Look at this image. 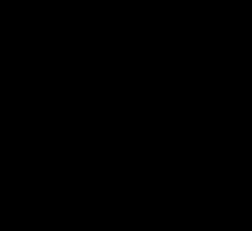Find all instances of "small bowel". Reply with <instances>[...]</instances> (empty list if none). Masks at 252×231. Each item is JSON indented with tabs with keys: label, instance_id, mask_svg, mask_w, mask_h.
Returning <instances> with one entry per match:
<instances>
[{
	"label": "small bowel",
	"instance_id": "1",
	"mask_svg": "<svg viewBox=\"0 0 252 231\" xmlns=\"http://www.w3.org/2000/svg\"><path fill=\"white\" fill-rule=\"evenodd\" d=\"M180 104H181L183 107H188V106H190V108H191L192 110H195V107H193L192 105H188V104L183 100V98H180Z\"/></svg>",
	"mask_w": 252,
	"mask_h": 231
}]
</instances>
